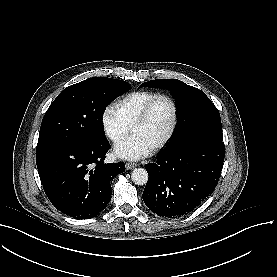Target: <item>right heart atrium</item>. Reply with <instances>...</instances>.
I'll list each match as a JSON object with an SVG mask.
<instances>
[{
	"instance_id": "d8ad5b80",
	"label": "right heart atrium",
	"mask_w": 277,
	"mask_h": 277,
	"mask_svg": "<svg viewBox=\"0 0 277 277\" xmlns=\"http://www.w3.org/2000/svg\"><path fill=\"white\" fill-rule=\"evenodd\" d=\"M103 130L110 139H118L127 130V125L121 115L114 110L108 109L103 115Z\"/></svg>"
}]
</instances>
